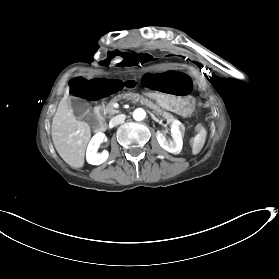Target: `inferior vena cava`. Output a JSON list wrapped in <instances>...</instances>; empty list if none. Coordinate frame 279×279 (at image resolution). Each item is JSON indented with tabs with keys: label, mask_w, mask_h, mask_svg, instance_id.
Listing matches in <instances>:
<instances>
[{
	"label": "inferior vena cava",
	"mask_w": 279,
	"mask_h": 279,
	"mask_svg": "<svg viewBox=\"0 0 279 279\" xmlns=\"http://www.w3.org/2000/svg\"><path fill=\"white\" fill-rule=\"evenodd\" d=\"M124 119H125V115L124 114H121V115H118L116 117H114L112 120H111V123L114 126L120 124V123H124Z\"/></svg>",
	"instance_id": "obj_1"
}]
</instances>
